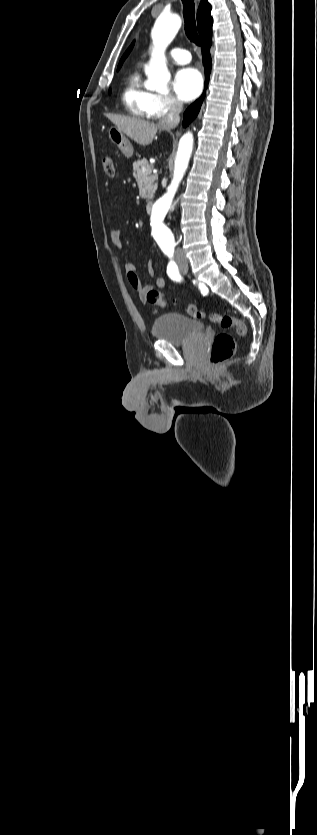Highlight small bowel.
<instances>
[{"mask_svg": "<svg viewBox=\"0 0 317 835\" xmlns=\"http://www.w3.org/2000/svg\"><path fill=\"white\" fill-rule=\"evenodd\" d=\"M110 241L111 243L117 247H121L120 239H119V231L117 229H112L110 231ZM125 270L127 273V278L130 286L139 293L140 297H144L145 293L151 289L150 285H143L138 277L136 272V267L133 263H127L125 266ZM148 273L151 277L155 278V284L158 288H164L166 286L165 279L161 276H156L155 268L153 263H149L147 267Z\"/></svg>", "mask_w": 317, "mask_h": 835, "instance_id": "obj_1", "label": "small bowel"}]
</instances>
